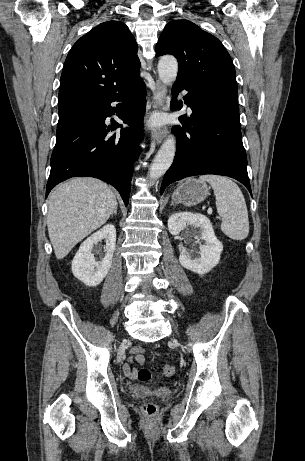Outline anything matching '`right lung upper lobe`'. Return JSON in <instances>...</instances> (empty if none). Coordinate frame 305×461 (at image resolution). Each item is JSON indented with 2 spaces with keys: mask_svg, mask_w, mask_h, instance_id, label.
Instances as JSON below:
<instances>
[{
  "mask_svg": "<svg viewBox=\"0 0 305 461\" xmlns=\"http://www.w3.org/2000/svg\"><path fill=\"white\" fill-rule=\"evenodd\" d=\"M138 45L120 21L99 24L71 48L61 74L58 105L125 92L142 82Z\"/></svg>",
  "mask_w": 305,
  "mask_h": 461,
  "instance_id": "1",
  "label": "right lung upper lobe"
}]
</instances>
